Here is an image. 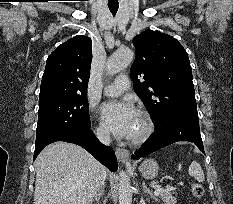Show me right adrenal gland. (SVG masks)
<instances>
[{
  "instance_id": "right-adrenal-gland-1",
  "label": "right adrenal gland",
  "mask_w": 233,
  "mask_h": 204,
  "mask_svg": "<svg viewBox=\"0 0 233 204\" xmlns=\"http://www.w3.org/2000/svg\"><path fill=\"white\" fill-rule=\"evenodd\" d=\"M103 194H104V186L101 188V190L92 199L91 204H93V202H97L99 204V201L103 197Z\"/></svg>"
}]
</instances>
